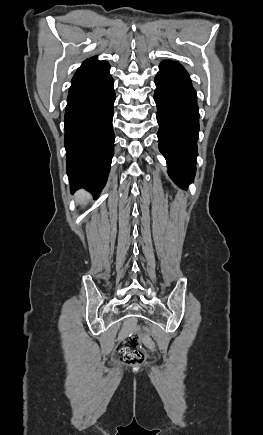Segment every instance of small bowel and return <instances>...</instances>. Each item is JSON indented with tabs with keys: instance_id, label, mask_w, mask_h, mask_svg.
I'll use <instances>...</instances> for the list:
<instances>
[{
	"instance_id": "obj_1",
	"label": "small bowel",
	"mask_w": 263,
	"mask_h": 435,
	"mask_svg": "<svg viewBox=\"0 0 263 435\" xmlns=\"http://www.w3.org/2000/svg\"><path fill=\"white\" fill-rule=\"evenodd\" d=\"M145 347H146L148 350H151V349L154 347V344H153L151 341H148V342L145 344Z\"/></svg>"
}]
</instances>
